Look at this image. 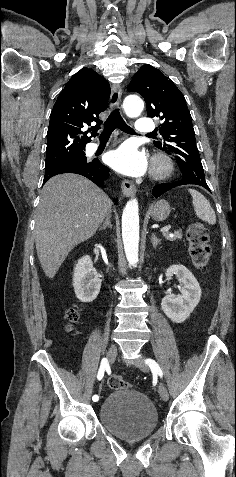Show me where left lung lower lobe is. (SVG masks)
<instances>
[{"label": "left lung lower lobe", "mask_w": 236, "mask_h": 477, "mask_svg": "<svg viewBox=\"0 0 236 477\" xmlns=\"http://www.w3.org/2000/svg\"><path fill=\"white\" fill-rule=\"evenodd\" d=\"M186 184L199 185V186H202V187L206 188L208 191H210L207 183H197V182H191V181L183 179V180L175 181L173 183L159 184V185H157L153 188L152 194L155 198H158L159 196H161L162 194H164L168 190H170L174 187H177V186H180V185H186Z\"/></svg>", "instance_id": "left-lung-lower-lobe-1"}]
</instances>
